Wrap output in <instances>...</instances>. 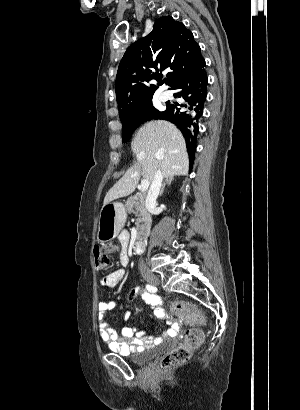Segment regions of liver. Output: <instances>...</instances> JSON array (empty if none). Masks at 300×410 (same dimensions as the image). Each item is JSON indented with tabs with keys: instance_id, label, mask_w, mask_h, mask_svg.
I'll return each instance as SVG.
<instances>
[{
	"instance_id": "1",
	"label": "liver",
	"mask_w": 300,
	"mask_h": 410,
	"mask_svg": "<svg viewBox=\"0 0 300 410\" xmlns=\"http://www.w3.org/2000/svg\"><path fill=\"white\" fill-rule=\"evenodd\" d=\"M131 148L137 163L107 192L104 205L133 193L140 176L150 183L158 170L164 177L188 174L185 139L176 126L167 121L144 124L135 134Z\"/></svg>"
}]
</instances>
